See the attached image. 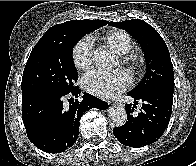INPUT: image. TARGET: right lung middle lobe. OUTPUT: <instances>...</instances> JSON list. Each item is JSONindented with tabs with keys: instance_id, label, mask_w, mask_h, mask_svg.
Returning a JSON list of instances; mask_svg holds the SVG:
<instances>
[{
	"instance_id": "obj_1",
	"label": "right lung middle lobe",
	"mask_w": 196,
	"mask_h": 166,
	"mask_svg": "<svg viewBox=\"0 0 196 166\" xmlns=\"http://www.w3.org/2000/svg\"><path fill=\"white\" fill-rule=\"evenodd\" d=\"M93 29L79 20L65 22L59 33L42 37L33 48L22 77V92L47 89L69 93L78 73L72 59L76 42Z\"/></svg>"
}]
</instances>
